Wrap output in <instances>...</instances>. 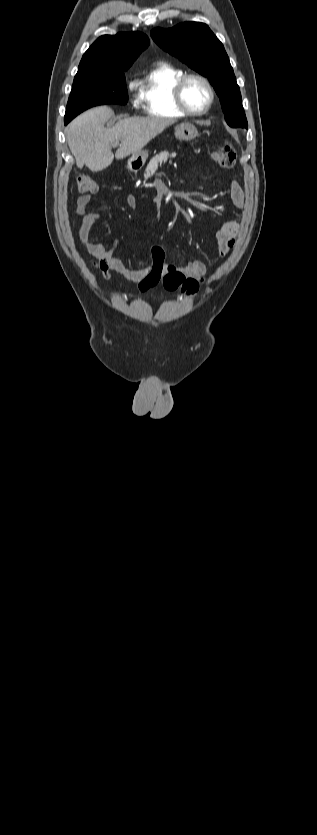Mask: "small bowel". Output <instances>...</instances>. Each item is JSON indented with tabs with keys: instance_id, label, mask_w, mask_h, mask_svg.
I'll use <instances>...</instances> for the list:
<instances>
[{
	"instance_id": "c3829d8e",
	"label": "small bowel",
	"mask_w": 317,
	"mask_h": 835,
	"mask_svg": "<svg viewBox=\"0 0 317 835\" xmlns=\"http://www.w3.org/2000/svg\"><path fill=\"white\" fill-rule=\"evenodd\" d=\"M229 196L237 208H243L245 196L243 189L237 181H231L229 183ZM90 201L91 197L89 195L79 197L76 204V213L84 216L79 227V239L87 253L93 258V266L101 271L106 281L111 280V272L114 271L125 280L136 282L137 292L144 293L157 286L167 267L165 264L164 249L161 246L153 247L151 253L152 262L147 267H127L121 259L114 256V252L120 243L118 237L113 240L109 248H106L92 238L91 231L100 219V214L95 211L86 214ZM126 203L130 208H136L137 201L133 195L126 197ZM239 229L240 225L238 222L227 220L216 230L215 237L218 252L221 257L226 256L234 246ZM180 270L188 278H193L201 283L205 280L206 265L200 259H192L186 262Z\"/></svg>"
}]
</instances>
